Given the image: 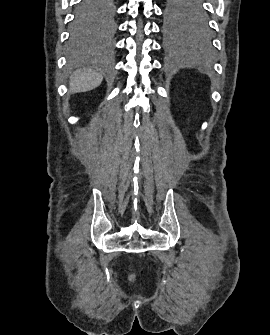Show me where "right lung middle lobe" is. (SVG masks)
Masks as SVG:
<instances>
[{"mask_svg": "<svg viewBox=\"0 0 270 335\" xmlns=\"http://www.w3.org/2000/svg\"><path fill=\"white\" fill-rule=\"evenodd\" d=\"M115 0H81L74 11L71 40L81 43L99 27L110 26L114 14Z\"/></svg>", "mask_w": 270, "mask_h": 335, "instance_id": "right-lung-middle-lobe-1", "label": "right lung middle lobe"}]
</instances>
